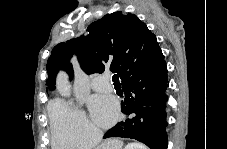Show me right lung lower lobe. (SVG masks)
Segmentation results:
<instances>
[{
  "label": "right lung lower lobe",
  "instance_id": "obj_1",
  "mask_svg": "<svg viewBox=\"0 0 227 149\" xmlns=\"http://www.w3.org/2000/svg\"><path fill=\"white\" fill-rule=\"evenodd\" d=\"M122 87L126 98L121 108L128 118L108 130L104 138H132L151 149H167L165 91L168 82L164 56L155 64L128 75Z\"/></svg>",
  "mask_w": 227,
  "mask_h": 149
}]
</instances>
